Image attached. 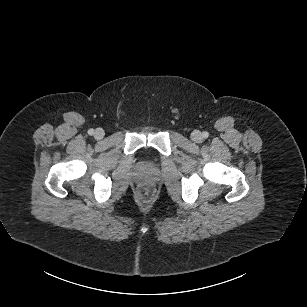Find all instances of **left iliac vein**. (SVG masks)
I'll use <instances>...</instances> for the list:
<instances>
[{
  "label": "left iliac vein",
  "mask_w": 307,
  "mask_h": 307,
  "mask_svg": "<svg viewBox=\"0 0 307 307\" xmlns=\"http://www.w3.org/2000/svg\"><path fill=\"white\" fill-rule=\"evenodd\" d=\"M191 139L196 143H200L203 139V136L200 131L194 130L191 134Z\"/></svg>",
  "instance_id": "1"
}]
</instances>
